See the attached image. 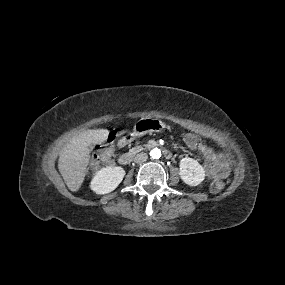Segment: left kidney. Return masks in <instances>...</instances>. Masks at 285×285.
<instances>
[{
	"label": "left kidney",
	"mask_w": 285,
	"mask_h": 285,
	"mask_svg": "<svg viewBox=\"0 0 285 285\" xmlns=\"http://www.w3.org/2000/svg\"><path fill=\"white\" fill-rule=\"evenodd\" d=\"M181 179L190 186H197L205 178L204 168L192 158H183L180 161V172Z\"/></svg>",
	"instance_id": "5707ae66"
}]
</instances>
